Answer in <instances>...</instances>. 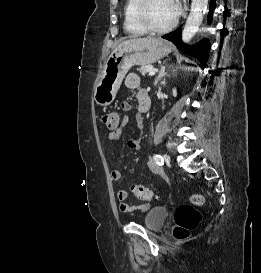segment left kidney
<instances>
[{
  "instance_id": "obj_1",
  "label": "left kidney",
  "mask_w": 261,
  "mask_h": 273,
  "mask_svg": "<svg viewBox=\"0 0 261 273\" xmlns=\"http://www.w3.org/2000/svg\"><path fill=\"white\" fill-rule=\"evenodd\" d=\"M173 96H174V97H176V96H177L176 89H173Z\"/></svg>"
}]
</instances>
